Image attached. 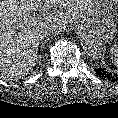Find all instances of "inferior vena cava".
<instances>
[{
    "mask_svg": "<svg viewBox=\"0 0 118 118\" xmlns=\"http://www.w3.org/2000/svg\"><path fill=\"white\" fill-rule=\"evenodd\" d=\"M44 28H45L46 34H49V33L57 34L60 32V30L63 28V26L58 25L54 22H48L47 24H45Z\"/></svg>",
    "mask_w": 118,
    "mask_h": 118,
    "instance_id": "inferior-vena-cava-1",
    "label": "inferior vena cava"
}]
</instances>
